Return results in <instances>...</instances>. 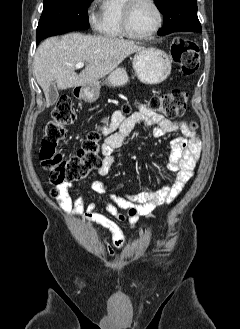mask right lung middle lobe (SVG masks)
Listing matches in <instances>:
<instances>
[{"label": "right lung middle lobe", "mask_w": 240, "mask_h": 329, "mask_svg": "<svg viewBox=\"0 0 240 329\" xmlns=\"http://www.w3.org/2000/svg\"><path fill=\"white\" fill-rule=\"evenodd\" d=\"M92 1L44 0L43 12L37 27V43L52 35L87 29V8Z\"/></svg>", "instance_id": "1"}]
</instances>
